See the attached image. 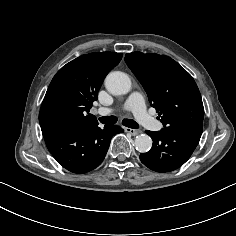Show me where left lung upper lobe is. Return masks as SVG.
Masks as SVG:
<instances>
[{"label":"left lung upper lobe","instance_id":"1","mask_svg":"<svg viewBox=\"0 0 236 236\" xmlns=\"http://www.w3.org/2000/svg\"><path fill=\"white\" fill-rule=\"evenodd\" d=\"M125 62L144 87L164 128L202 127L204 108L192 76L176 61L155 53L126 54Z\"/></svg>","mask_w":236,"mask_h":236}]
</instances>
